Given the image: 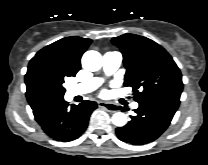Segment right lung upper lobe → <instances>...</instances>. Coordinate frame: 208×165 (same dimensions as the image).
<instances>
[{
	"instance_id": "obj_1",
	"label": "right lung upper lobe",
	"mask_w": 208,
	"mask_h": 165,
	"mask_svg": "<svg viewBox=\"0 0 208 165\" xmlns=\"http://www.w3.org/2000/svg\"><path fill=\"white\" fill-rule=\"evenodd\" d=\"M91 42L92 40L87 38H80L77 36L66 37L46 46L40 50L35 57H51L58 66L63 67L66 71L75 76L81 67V56ZM48 103L51 102L30 104V106L33 110V113H36Z\"/></svg>"
}]
</instances>
